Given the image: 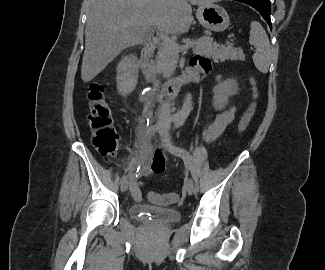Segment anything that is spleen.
Segmentation results:
<instances>
[{"instance_id": "3e777b00", "label": "spleen", "mask_w": 325, "mask_h": 270, "mask_svg": "<svg viewBox=\"0 0 325 270\" xmlns=\"http://www.w3.org/2000/svg\"><path fill=\"white\" fill-rule=\"evenodd\" d=\"M249 43L256 49L253 55L254 65L260 72L267 73L271 61L270 42L264 28L257 21L251 22Z\"/></svg>"}]
</instances>
